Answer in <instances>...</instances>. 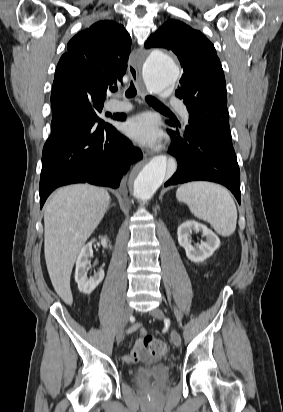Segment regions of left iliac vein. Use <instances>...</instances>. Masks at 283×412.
<instances>
[{
  "label": "left iliac vein",
  "mask_w": 283,
  "mask_h": 412,
  "mask_svg": "<svg viewBox=\"0 0 283 412\" xmlns=\"http://www.w3.org/2000/svg\"><path fill=\"white\" fill-rule=\"evenodd\" d=\"M150 314L156 319H165V314L160 308L153 309ZM171 338L175 346L179 347L181 345V336L175 329L171 330Z\"/></svg>",
  "instance_id": "obj_1"
}]
</instances>
